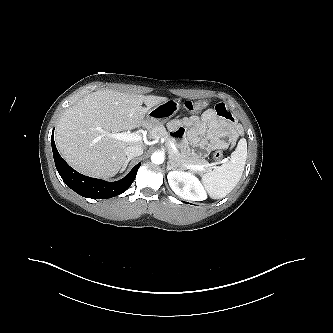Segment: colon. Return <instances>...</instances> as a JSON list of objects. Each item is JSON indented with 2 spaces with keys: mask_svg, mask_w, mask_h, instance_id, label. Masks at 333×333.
Listing matches in <instances>:
<instances>
[{
  "mask_svg": "<svg viewBox=\"0 0 333 333\" xmlns=\"http://www.w3.org/2000/svg\"><path fill=\"white\" fill-rule=\"evenodd\" d=\"M208 105L207 100H187L183 103V109L189 112H198ZM215 161H221L224 158L222 151L218 150L213 154Z\"/></svg>",
  "mask_w": 333,
  "mask_h": 333,
  "instance_id": "5ec220e1",
  "label": "colon"
}]
</instances>
